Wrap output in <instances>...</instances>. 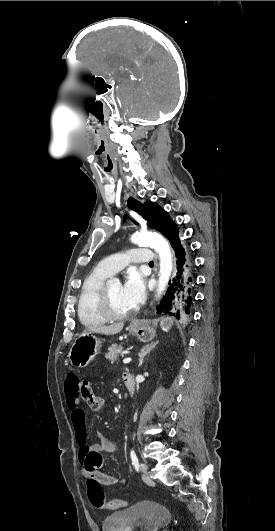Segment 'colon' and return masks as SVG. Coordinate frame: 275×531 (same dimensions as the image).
Masks as SVG:
<instances>
[{
	"instance_id": "obj_1",
	"label": "colon",
	"mask_w": 275,
	"mask_h": 531,
	"mask_svg": "<svg viewBox=\"0 0 275 531\" xmlns=\"http://www.w3.org/2000/svg\"><path fill=\"white\" fill-rule=\"evenodd\" d=\"M80 389L81 402H87L88 406L92 410H100L103 405V401L101 396L94 390V382L85 379V381L81 382ZM84 486L85 488L89 489L88 494L89 496H91V499L93 501V507L97 510H104L109 508L121 510L127 506L126 502L117 500L109 501L107 503V506H104V490L101 488L100 484L92 480H87L85 481Z\"/></svg>"
}]
</instances>
